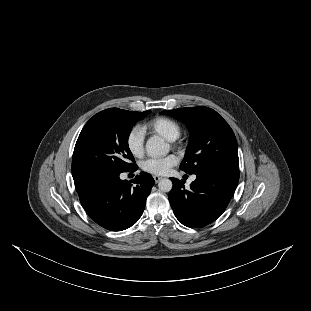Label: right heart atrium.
I'll use <instances>...</instances> for the list:
<instances>
[{"mask_svg":"<svg viewBox=\"0 0 311 311\" xmlns=\"http://www.w3.org/2000/svg\"><path fill=\"white\" fill-rule=\"evenodd\" d=\"M144 129L140 125L132 126L125 137L128 152L134 157H140L144 152Z\"/></svg>","mask_w":311,"mask_h":311,"instance_id":"1","label":"right heart atrium"}]
</instances>
